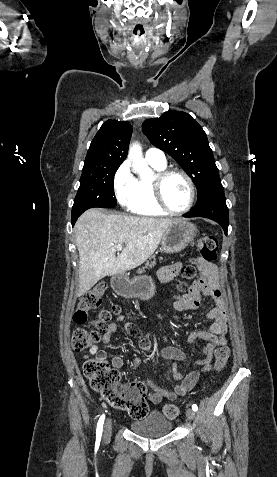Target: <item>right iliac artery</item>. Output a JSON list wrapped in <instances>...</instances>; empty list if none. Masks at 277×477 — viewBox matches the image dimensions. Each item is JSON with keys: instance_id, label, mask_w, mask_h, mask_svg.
<instances>
[{"instance_id": "82829eb1", "label": "right iliac artery", "mask_w": 277, "mask_h": 477, "mask_svg": "<svg viewBox=\"0 0 277 477\" xmlns=\"http://www.w3.org/2000/svg\"><path fill=\"white\" fill-rule=\"evenodd\" d=\"M105 415L103 414L98 421L97 424V429H96V436L98 439H101L102 436V429H103V423H104Z\"/></svg>"}]
</instances>
